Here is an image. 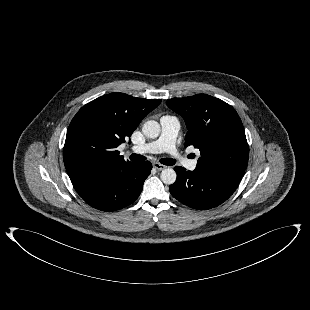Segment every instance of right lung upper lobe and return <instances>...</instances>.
I'll return each instance as SVG.
<instances>
[{
  "label": "right lung upper lobe",
  "mask_w": 310,
  "mask_h": 310,
  "mask_svg": "<svg viewBox=\"0 0 310 310\" xmlns=\"http://www.w3.org/2000/svg\"><path fill=\"white\" fill-rule=\"evenodd\" d=\"M160 103V99L110 93L84 105L69 125L63 149L71 182L132 163L116 148Z\"/></svg>",
  "instance_id": "right-lung-upper-lobe-1"
}]
</instances>
